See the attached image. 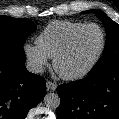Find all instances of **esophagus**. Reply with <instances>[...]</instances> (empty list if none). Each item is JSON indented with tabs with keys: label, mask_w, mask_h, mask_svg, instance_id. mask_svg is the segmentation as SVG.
<instances>
[{
	"label": "esophagus",
	"mask_w": 119,
	"mask_h": 119,
	"mask_svg": "<svg viewBox=\"0 0 119 119\" xmlns=\"http://www.w3.org/2000/svg\"><path fill=\"white\" fill-rule=\"evenodd\" d=\"M46 88L48 91H55L57 88V85L51 81L46 82Z\"/></svg>",
	"instance_id": "obj_1"
}]
</instances>
